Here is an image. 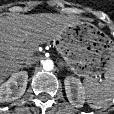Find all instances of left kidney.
Wrapping results in <instances>:
<instances>
[{
    "label": "left kidney",
    "mask_w": 114,
    "mask_h": 114,
    "mask_svg": "<svg viewBox=\"0 0 114 114\" xmlns=\"http://www.w3.org/2000/svg\"><path fill=\"white\" fill-rule=\"evenodd\" d=\"M65 91L69 102L75 107H82L85 100V90L81 81L73 76L64 80Z\"/></svg>",
    "instance_id": "left-kidney-1"
}]
</instances>
